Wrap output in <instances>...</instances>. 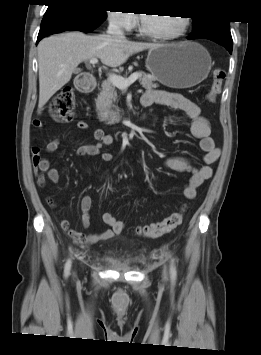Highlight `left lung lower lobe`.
Here are the masks:
<instances>
[{
	"mask_svg": "<svg viewBox=\"0 0 261 355\" xmlns=\"http://www.w3.org/2000/svg\"><path fill=\"white\" fill-rule=\"evenodd\" d=\"M201 38H205V39H209L214 42H218L219 44L224 46L230 53H232V48H233L232 38L231 39H222V38H218V37H209V36H205V37H201ZM188 39H192V38L189 36Z\"/></svg>",
	"mask_w": 261,
	"mask_h": 355,
	"instance_id": "obj_1",
	"label": "left lung lower lobe"
}]
</instances>
